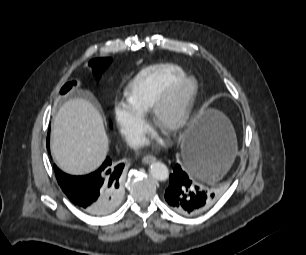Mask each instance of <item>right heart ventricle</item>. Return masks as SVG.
<instances>
[{
    "mask_svg": "<svg viewBox=\"0 0 306 255\" xmlns=\"http://www.w3.org/2000/svg\"><path fill=\"white\" fill-rule=\"evenodd\" d=\"M185 76L184 70L174 64L151 65L142 69L129 82L125 96L129 105L144 115L167 90Z\"/></svg>",
    "mask_w": 306,
    "mask_h": 255,
    "instance_id": "e07e8e85",
    "label": "right heart ventricle"
}]
</instances>
